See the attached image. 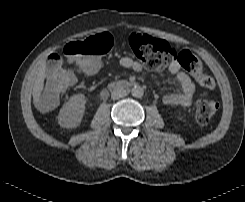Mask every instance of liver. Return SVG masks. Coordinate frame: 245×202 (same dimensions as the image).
<instances>
[{
	"label": "liver",
	"mask_w": 245,
	"mask_h": 202,
	"mask_svg": "<svg viewBox=\"0 0 245 202\" xmlns=\"http://www.w3.org/2000/svg\"><path fill=\"white\" fill-rule=\"evenodd\" d=\"M45 72H46V65L45 63H43L38 68V74H37L35 84H34V101L36 103L39 102V97H40L41 91L43 90Z\"/></svg>",
	"instance_id": "1"
}]
</instances>
